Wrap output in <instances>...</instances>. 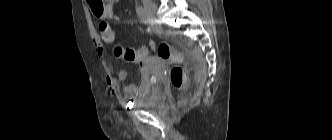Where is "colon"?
Segmentation results:
<instances>
[{
  "label": "colon",
  "mask_w": 332,
  "mask_h": 140,
  "mask_svg": "<svg viewBox=\"0 0 332 140\" xmlns=\"http://www.w3.org/2000/svg\"><path fill=\"white\" fill-rule=\"evenodd\" d=\"M86 1L92 13L98 18H101L109 2V0ZM98 28L101 36H110L115 34V30L112 25L105 20L100 21ZM147 53L148 50L145 47L139 49L117 48L115 50V54L117 56L130 62L141 61L146 57ZM157 54L163 60L169 61L173 64V67L170 70V80L173 86L178 90L184 89L187 85V75L185 69L181 66L182 55L166 42H162L158 45Z\"/></svg>",
  "instance_id": "colon-1"
}]
</instances>
